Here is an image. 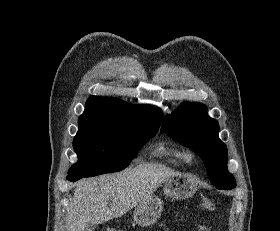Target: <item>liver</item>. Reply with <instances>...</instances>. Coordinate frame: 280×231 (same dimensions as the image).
Returning a JSON list of instances; mask_svg holds the SVG:
<instances>
[{
	"label": "liver",
	"instance_id": "1",
	"mask_svg": "<svg viewBox=\"0 0 280 231\" xmlns=\"http://www.w3.org/2000/svg\"><path fill=\"white\" fill-rule=\"evenodd\" d=\"M179 175L161 163H140L118 173L77 181L66 217L67 231H85L88 223H104L145 201L157 187ZM111 199L110 207L107 203Z\"/></svg>",
	"mask_w": 280,
	"mask_h": 231
}]
</instances>
